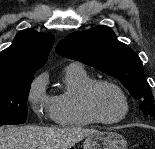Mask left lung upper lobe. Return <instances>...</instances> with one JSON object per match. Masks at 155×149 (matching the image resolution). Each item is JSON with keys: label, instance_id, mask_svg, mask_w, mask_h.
<instances>
[{"label": "left lung upper lobe", "instance_id": "1", "mask_svg": "<svg viewBox=\"0 0 155 149\" xmlns=\"http://www.w3.org/2000/svg\"><path fill=\"white\" fill-rule=\"evenodd\" d=\"M59 55L87 64L115 77L140 101L144 117L155 119V104L142 61L107 26L74 32L56 46Z\"/></svg>", "mask_w": 155, "mask_h": 149}]
</instances>
